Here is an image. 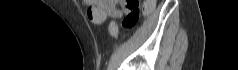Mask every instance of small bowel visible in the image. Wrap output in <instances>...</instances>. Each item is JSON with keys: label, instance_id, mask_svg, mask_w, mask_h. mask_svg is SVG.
Returning a JSON list of instances; mask_svg holds the SVG:
<instances>
[{"label": "small bowel", "instance_id": "c3829d8e", "mask_svg": "<svg viewBox=\"0 0 238 70\" xmlns=\"http://www.w3.org/2000/svg\"><path fill=\"white\" fill-rule=\"evenodd\" d=\"M85 3L88 5L87 17L95 24H101L107 18L120 19L129 13L125 0H85Z\"/></svg>", "mask_w": 238, "mask_h": 70}]
</instances>
